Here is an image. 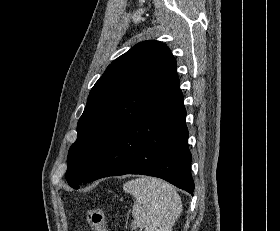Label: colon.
Wrapping results in <instances>:
<instances>
[{"label":"colon","instance_id":"colon-1","mask_svg":"<svg viewBox=\"0 0 280 231\" xmlns=\"http://www.w3.org/2000/svg\"><path fill=\"white\" fill-rule=\"evenodd\" d=\"M87 220L92 231H106V220L101 208H91L87 210Z\"/></svg>","mask_w":280,"mask_h":231}]
</instances>
